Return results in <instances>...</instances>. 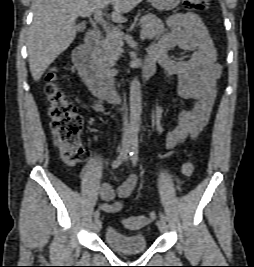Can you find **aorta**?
<instances>
[{
    "label": "aorta",
    "instance_id": "aorta-1",
    "mask_svg": "<svg viewBox=\"0 0 254 267\" xmlns=\"http://www.w3.org/2000/svg\"><path fill=\"white\" fill-rule=\"evenodd\" d=\"M142 110L141 85L137 78L130 84V118L128 127V138L136 141L140 128V115Z\"/></svg>",
    "mask_w": 254,
    "mask_h": 267
}]
</instances>
